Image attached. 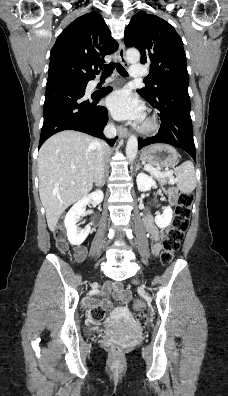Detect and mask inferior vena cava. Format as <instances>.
Listing matches in <instances>:
<instances>
[{
  "label": "inferior vena cava",
  "instance_id": "602c4592",
  "mask_svg": "<svg viewBox=\"0 0 228 396\" xmlns=\"http://www.w3.org/2000/svg\"><path fill=\"white\" fill-rule=\"evenodd\" d=\"M104 135L107 138H113L116 136V128L113 123H108L104 128ZM98 149H97V164L95 170V184L96 186H102L104 180V156H106L109 152V146L104 141L97 140Z\"/></svg>",
  "mask_w": 228,
  "mask_h": 396
}]
</instances>
